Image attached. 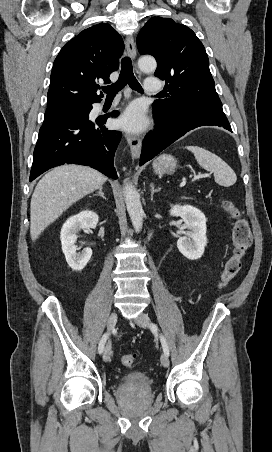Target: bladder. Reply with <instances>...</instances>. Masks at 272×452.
<instances>
[{
  "label": "bladder",
  "mask_w": 272,
  "mask_h": 452,
  "mask_svg": "<svg viewBox=\"0 0 272 452\" xmlns=\"http://www.w3.org/2000/svg\"><path fill=\"white\" fill-rule=\"evenodd\" d=\"M119 385L121 387L150 389L152 386V378L144 372L133 371L122 376L119 380Z\"/></svg>",
  "instance_id": "1"
}]
</instances>
